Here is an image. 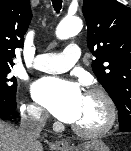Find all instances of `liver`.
I'll list each match as a JSON object with an SVG mask.
<instances>
[{
    "mask_svg": "<svg viewBox=\"0 0 131 151\" xmlns=\"http://www.w3.org/2000/svg\"><path fill=\"white\" fill-rule=\"evenodd\" d=\"M0 151H43V147L39 141L28 142L18 130L0 120Z\"/></svg>",
    "mask_w": 131,
    "mask_h": 151,
    "instance_id": "6515ba94",
    "label": "liver"
}]
</instances>
